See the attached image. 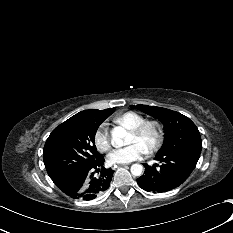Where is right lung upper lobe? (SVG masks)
<instances>
[{"label":"right lung upper lobe","mask_w":233,"mask_h":233,"mask_svg":"<svg viewBox=\"0 0 233 233\" xmlns=\"http://www.w3.org/2000/svg\"><path fill=\"white\" fill-rule=\"evenodd\" d=\"M107 110L108 109H105V110H96V109L84 110V111H81V112L77 113L76 115L72 116L71 118H69L65 122L82 120V119H84V118H86L88 116H91V115H94V114H97V113H104Z\"/></svg>","instance_id":"1"}]
</instances>
